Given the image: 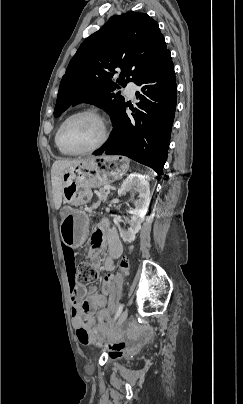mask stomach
<instances>
[{
    "instance_id": "obj_1",
    "label": "stomach",
    "mask_w": 243,
    "mask_h": 404,
    "mask_svg": "<svg viewBox=\"0 0 243 404\" xmlns=\"http://www.w3.org/2000/svg\"><path fill=\"white\" fill-rule=\"evenodd\" d=\"M129 168V161L120 156H97L83 159L63 173V200L60 226L65 245L80 247L89 232V217L79 207L92 198L91 188H100L121 178Z\"/></svg>"
}]
</instances>
